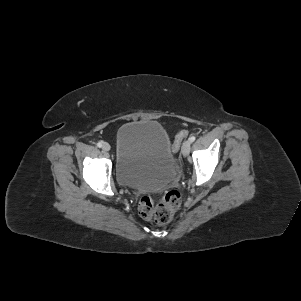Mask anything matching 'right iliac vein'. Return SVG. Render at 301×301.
<instances>
[{"mask_svg": "<svg viewBox=\"0 0 301 301\" xmlns=\"http://www.w3.org/2000/svg\"><path fill=\"white\" fill-rule=\"evenodd\" d=\"M104 151H109L111 149L110 145L107 142H104L102 145Z\"/></svg>", "mask_w": 301, "mask_h": 301, "instance_id": "63e3f726", "label": "right iliac vein"}]
</instances>
